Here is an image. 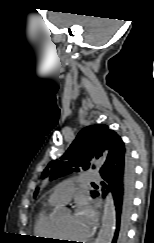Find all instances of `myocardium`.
<instances>
[{
  "mask_svg": "<svg viewBox=\"0 0 154 243\" xmlns=\"http://www.w3.org/2000/svg\"><path fill=\"white\" fill-rule=\"evenodd\" d=\"M55 233H56L57 238L64 242L66 237L63 235V233L60 229V226L58 225L57 222H55Z\"/></svg>",
  "mask_w": 154,
  "mask_h": 243,
  "instance_id": "1",
  "label": "myocardium"
}]
</instances>
